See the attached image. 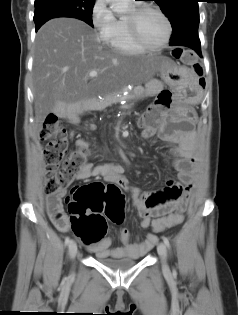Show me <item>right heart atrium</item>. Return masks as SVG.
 I'll list each match as a JSON object with an SVG mask.
<instances>
[{"instance_id":"1","label":"right heart atrium","mask_w":238,"mask_h":315,"mask_svg":"<svg viewBox=\"0 0 238 315\" xmlns=\"http://www.w3.org/2000/svg\"><path fill=\"white\" fill-rule=\"evenodd\" d=\"M90 19L99 36L105 39L116 18L108 7L106 0H94L90 10Z\"/></svg>"}]
</instances>
